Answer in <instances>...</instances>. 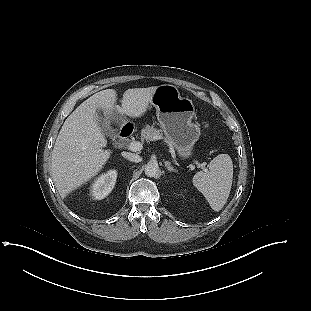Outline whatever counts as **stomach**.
I'll return each mask as SVG.
<instances>
[{
    "label": "stomach",
    "instance_id": "1",
    "mask_svg": "<svg viewBox=\"0 0 311 311\" xmlns=\"http://www.w3.org/2000/svg\"><path fill=\"white\" fill-rule=\"evenodd\" d=\"M151 105L167 141L177 150L181 158H189L195 142L200 137V128L192 123L195 106L192 100L182 97L170 85H161L155 91Z\"/></svg>",
    "mask_w": 311,
    "mask_h": 311
}]
</instances>
